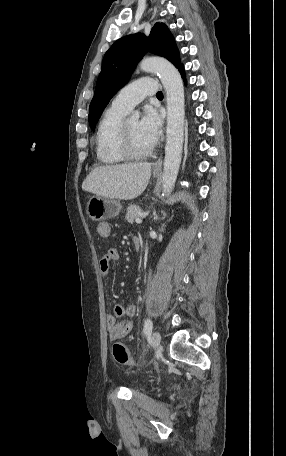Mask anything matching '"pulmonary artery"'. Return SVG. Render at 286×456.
<instances>
[{
    "label": "pulmonary artery",
    "mask_w": 286,
    "mask_h": 456,
    "mask_svg": "<svg viewBox=\"0 0 286 456\" xmlns=\"http://www.w3.org/2000/svg\"><path fill=\"white\" fill-rule=\"evenodd\" d=\"M156 93V80L151 77H141L121 89L114 97L112 106L129 112L145 97L152 96Z\"/></svg>",
    "instance_id": "pulmonary-artery-1"
}]
</instances>
